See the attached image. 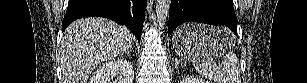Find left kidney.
<instances>
[{
	"mask_svg": "<svg viewBox=\"0 0 307 83\" xmlns=\"http://www.w3.org/2000/svg\"><path fill=\"white\" fill-rule=\"evenodd\" d=\"M181 83H209L200 78H196L194 76H184L181 80Z\"/></svg>",
	"mask_w": 307,
	"mask_h": 83,
	"instance_id": "left-kidney-1",
	"label": "left kidney"
}]
</instances>
